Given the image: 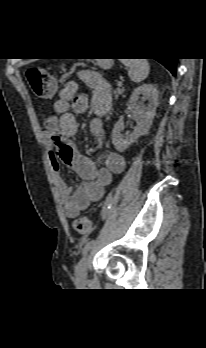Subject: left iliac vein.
Wrapping results in <instances>:
<instances>
[{"mask_svg": "<svg viewBox=\"0 0 206 348\" xmlns=\"http://www.w3.org/2000/svg\"><path fill=\"white\" fill-rule=\"evenodd\" d=\"M88 263H89V255H85L77 264V267L75 270V276L78 282H83L86 280Z\"/></svg>", "mask_w": 206, "mask_h": 348, "instance_id": "left-iliac-vein-1", "label": "left iliac vein"}]
</instances>
